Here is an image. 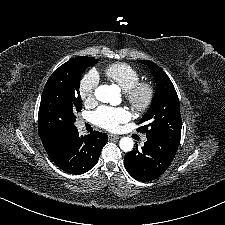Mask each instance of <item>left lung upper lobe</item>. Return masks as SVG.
I'll use <instances>...</instances> for the list:
<instances>
[{"label":"left lung upper lobe","mask_w":225,"mask_h":225,"mask_svg":"<svg viewBox=\"0 0 225 225\" xmlns=\"http://www.w3.org/2000/svg\"><path fill=\"white\" fill-rule=\"evenodd\" d=\"M156 82V92L151 108L145 113L137 129L146 133L147 138H162L179 145L181 139L180 103L176 90L167 74L155 63L146 60Z\"/></svg>","instance_id":"1"}]
</instances>
